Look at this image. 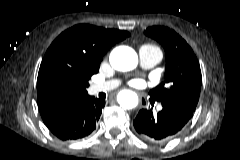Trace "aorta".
Masks as SVG:
<instances>
[{"mask_svg": "<svg viewBox=\"0 0 240 160\" xmlns=\"http://www.w3.org/2000/svg\"><path fill=\"white\" fill-rule=\"evenodd\" d=\"M110 64L118 71H130L137 66L138 57L136 52L127 46H118L110 53ZM118 102L124 109H133L138 104V96L130 90L121 91Z\"/></svg>", "mask_w": 240, "mask_h": 160, "instance_id": "aorta-1", "label": "aorta"}]
</instances>
